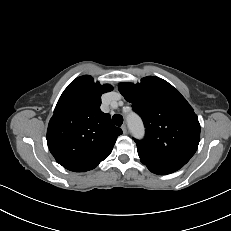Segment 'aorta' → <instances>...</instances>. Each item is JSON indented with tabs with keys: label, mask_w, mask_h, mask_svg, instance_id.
<instances>
[{
	"label": "aorta",
	"mask_w": 231,
	"mask_h": 231,
	"mask_svg": "<svg viewBox=\"0 0 231 231\" xmlns=\"http://www.w3.org/2000/svg\"><path fill=\"white\" fill-rule=\"evenodd\" d=\"M130 131L135 136H140L143 134L144 128L141 119L136 114H131L127 118Z\"/></svg>",
	"instance_id": "aorta-1"
}]
</instances>
